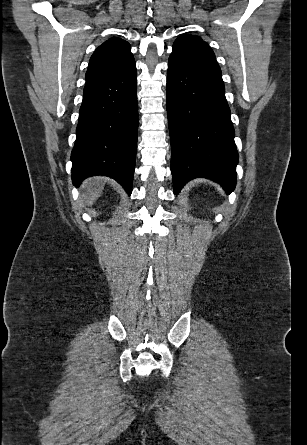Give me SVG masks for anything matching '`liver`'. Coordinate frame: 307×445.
Here are the masks:
<instances>
[{"label": "liver", "instance_id": "obj_1", "mask_svg": "<svg viewBox=\"0 0 307 445\" xmlns=\"http://www.w3.org/2000/svg\"><path fill=\"white\" fill-rule=\"evenodd\" d=\"M104 184L101 182V178H88L82 184V200L87 206H91L93 202H96L97 198L101 196L103 192Z\"/></svg>", "mask_w": 307, "mask_h": 445}]
</instances>
